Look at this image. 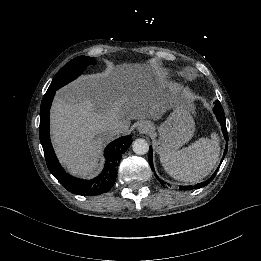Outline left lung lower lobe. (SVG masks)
Masks as SVG:
<instances>
[{"label": "left lung lower lobe", "mask_w": 261, "mask_h": 261, "mask_svg": "<svg viewBox=\"0 0 261 261\" xmlns=\"http://www.w3.org/2000/svg\"><path fill=\"white\" fill-rule=\"evenodd\" d=\"M214 113H215L218 121L221 124V128H222V132H223L224 138L226 139V141H228V134H227V129H226L225 114H224L223 108H222V106H221V104H220V102L218 100L215 102ZM227 150H228V146L226 145L225 151H224V156L227 153ZM149 164H150L151 169L153 171H155L154 170V166H153L152 147L149 148ZM216 172H217V170L215 171V173L208 180H206V181H204L202 183H199V184L195 185L194 187L193 186L183 187V189L186 190V189H192V188H201V187H204V186L208 185L214 179V177L216 175Z\"/></svg>", "instance_id": "1"}]
</instances>
